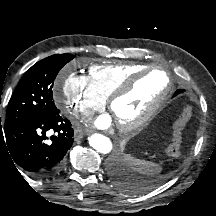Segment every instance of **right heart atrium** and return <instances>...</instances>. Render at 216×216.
<instances>
[{"mask_svg":"<svg viewBox=\"0 0 216 216\" xmlns=\"http://www.w3.org/2000/svg\"><path fill=\"white\" fill-rule=\"evenodd\" d=\"M53 98L61 113L68 118L89 117L105 106V99L94 89L89 77L73 72L61 74Z\"/></svg>","mask_w":216,"mask_h":216,"instance_id":"d8ad5b80","label":"right heart atrium"}]
</instances>
